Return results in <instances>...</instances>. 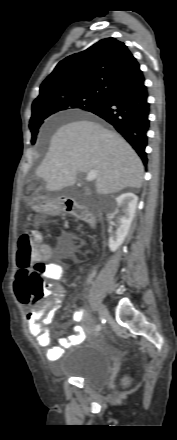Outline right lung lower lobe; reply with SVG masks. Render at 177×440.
<instances>
[{"label": "right lung lower lobe", "mask_w": 177, "mask_h": 440, "mask_svg": "<svg viewBox=\"0 0 177 440\" xmlns=\"http://www.w3.org/2000/svg\"><path fill=\"white\" fill-rule=\"evenodd\" d=\"M144 81V75L140 70L104 94L101 101L87 111L112 124L130 143L146 166L145 147L150 124L148 119L150 108Z\"/></svg>", "instance_id": "obj_1"}]
</instances>
